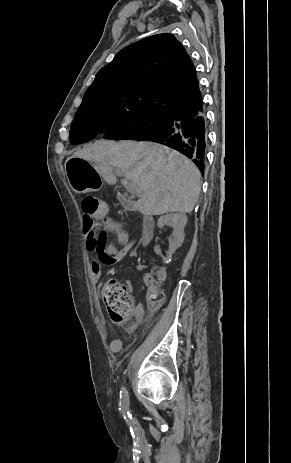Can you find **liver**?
<instances>
[{"instance_id": "liver-1", "label": "liver", "mask_w": 291, "mask_h": 463, "mask_svg": "<svg viewBox=\"0 0 291 463\" xmlns=\"http://www.w3.org/2000/svg\"><path fill=\"white\" fill-rule=\"evenodd\" d=\"M72 158L92 162L110 185L117 182L114 168L135 183L140 190L136 205L143 215L190 213L198 202L200 171L187 157L164 145L99 140Z\"/></svg>"}]
</instances>
